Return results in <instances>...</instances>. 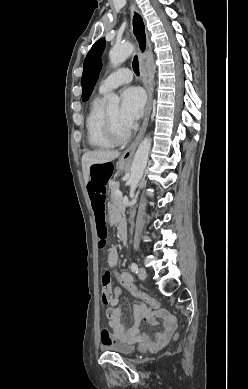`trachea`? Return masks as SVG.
Returning a JSON list of instances; mask_svg holds the SVG:
<instances>
[{
    "label": "trachea",
    "mask_w": 248,
    "mask_h": 389,
    "mask_svg": "<svg viewBox=\"0 0 248 389\" xmlns=\"http://www.w3.org/2000/svg\"><path fill=\"white\" fill-rule=\"evenodd\" d=\"M133 70L137 76H139V62L138 57L135 56L132 63Z\"/></svg>",
    "instance_id": "trachea-1"
}]
</instances>
